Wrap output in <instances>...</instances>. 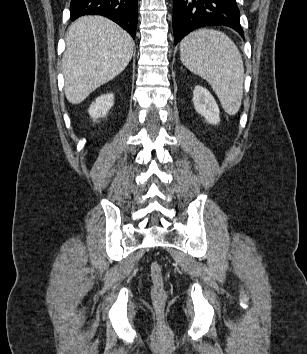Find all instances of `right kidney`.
Listing matches in <instances>:
<instances>
[{
	"mask_svg": "<svg viewBox=\"0 0 307 354\" xmlns=\"http://www.w3.org/2000/svg\"><path fill=\"white\" fill-rule=\"evenodd\" d=\"M113 105L114 95L112 93L101 95L90 105L89 115L96 121L98 118L105 117Z\"/></svg>",
	"mask_w": 307,
	"mask_h": 354,
	"instance_id": "ca27d5eb",
	"label": "right kidney"
}]
</instances>
